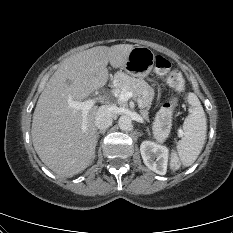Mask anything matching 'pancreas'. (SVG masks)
I'll return each mask as SVG.
<instances>
[{"mask_svg":"<svg viewBox=\"0 0 233 233\" xmlns=\"http://www.w3.org/2000/svg\"><path fill=\"white\" fill-rule=\"evenodd\" d=\"M126 88L128 91L135 93L138 96V105L142 117L149 121V109L152 104L154 89L144 80L130 77L124 73H118L115 76V84L113 92L119 96L122 90ZM168 135L166 130L157 127L154 124V136L157 140L163 141Z\"/></svg>","mask_w":233,"mask_h":233,"instance_id":"1","label":"pancreas"}]
</instances>
